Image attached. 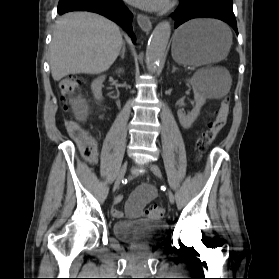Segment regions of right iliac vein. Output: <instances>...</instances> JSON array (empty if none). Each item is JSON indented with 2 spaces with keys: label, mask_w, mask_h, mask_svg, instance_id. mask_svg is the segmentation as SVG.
Segmentation results:
<instances>
[{
  "label": "right iliac vein",
  "mask_w": 279,
  "mask_h": 279,
  "mask_svg": "<svg viewBox=\"0 0 279 279\" xmlns=\"http://www.w3.org/2000/svg\"><path fill=\"white\" fill-rule=\"evenodd\" d=\"M126 169H127V162H125L120 171H119V174L114 182V186H113V190L116 191L118 189V187L120 186L121 184V181L123 180L124 176H125V173H126Z\"/></svg>",
  "instance_id": "right-iliac-vein-1"
}]
</instances>
